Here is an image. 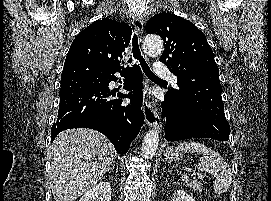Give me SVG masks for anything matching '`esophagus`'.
I'll list each match as a JSON object with an SVG mask.
<instances>
[{"label": "esophagus", "instance_id": "esophagus-1", "mask_svg": "<svg viewBox=\"0 0 271 201\" xmlns=\"http://www.w3.org/2000/svg\"><path fill=\"white\" fill-rule=\"evenodd\" d=\"M133 25L138 33L139 42L142 41L143 33V19L141 16H133ZM146 57V56H145ZM142 110L145 116L146 123L154 127L158 132L162 131V122L159 117V113L155 106L151 103L149 99V83L146 79L143 84V103Z\"/></svg>", "mask_w": 271, "mask_h": 201}]
</instances>
